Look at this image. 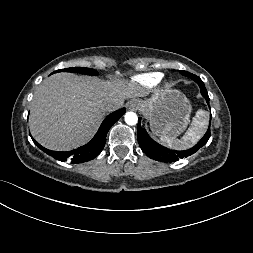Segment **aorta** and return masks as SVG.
Instances as JSON below:
<instances>
[{"mask_svg": "<svg viewBox=\"0 0 253 253\" xmlns=\"http://www.w3.org/2000/svg\"><path fill=\"white\" fill-rule=\"evenodd\" d=\"M125 122L128 125H135L138 122V117L134 112H127L125 114Z\"/></svg>", "mask_w": 253, "mask_h": 253, "instance_id": "1", "label": "aorta"}]
</instances>
